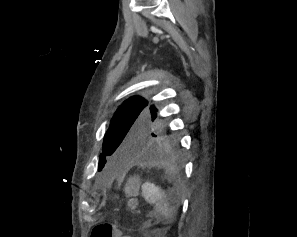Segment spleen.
Here are the masks:
<instances>
[{
  "instance_id": "3e777b00",
  "label": "spleen",
  "mask_w": 297,
  "mask_h": 237,
  "mask_svg": "<svg viewBox=\"0 0 297 237\" xmlns=\"http://www.w3.org/2000/svg\"><path fill=\"white\" fill-rule=\"evenodd\" d=\"M142 194L148 202L155 204V210L158 214L168 221L173 219L174 211L163 190L158 186H155L153 183L146 182L142 185Z\"/></svg>"
}]
</instances>
